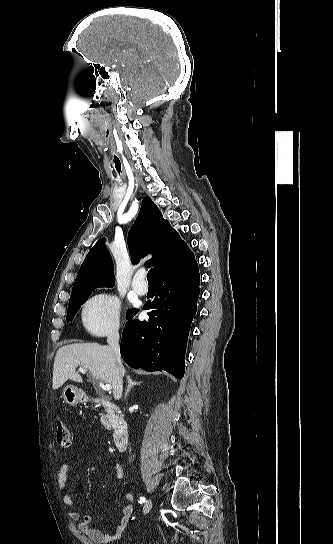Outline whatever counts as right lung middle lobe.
Here are the masks:
<instances>
[{
	"instance_id": "dd1d6c3e",
	"label": "right lung middle lobe",
	"mask_w": 333,
	"mask_h": 544,
	"mask_svg": "<svg viewBox=\"0 0 333 544\" xmlns=\"http://www.w3.org/2000/svg\"><path fill=\"white\" fill-rule=\"evenodd\" d=\"M91 291L84 292L82 294H78L75 296L70 297L69 304H68V313H67V322L69 320H73V317L75 316L76 312L79 310L82 304L86 302L89 295L91 294ZM133 310L128 311V315L132 313Z\"/></svg>"
}]
</instances>
